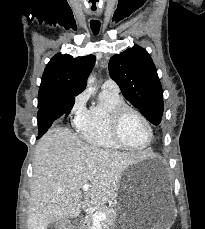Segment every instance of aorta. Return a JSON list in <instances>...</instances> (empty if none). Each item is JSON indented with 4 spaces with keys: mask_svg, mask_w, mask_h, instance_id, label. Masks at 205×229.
<instances>
[{
    "mask_svg": "<svg viewBox=\"0 0 205 229\" xmlns=\"http://www.w3.org/2000/svg\"><path fill=\"white\" fill-rule=\"evenodd\" d=\"M95 81V76L90 75V77L88 78L87 84L88 85H92Z\"/></svg>",
    "mask_w": 205,
    "mask_h": 229,
    "instance_id": "762f6f07",
    "label": "aorta"
}]
</instances>
